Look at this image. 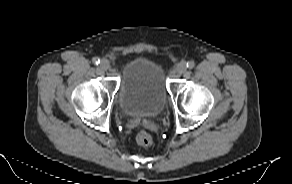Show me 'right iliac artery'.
<instances>
[{
    "label": "right iliac artery",
    "instance_id": "1",
    "mask_svg": "<svg viewBox=\"0 0 292 184\" xmlns=\"http://www.w3.org/2000/svg\"><path fill=\"white\" fill-rule=\"evenodd\" d=\"M92 61L96 65H98L100 63V59L98 57H94Z\"/></svg>",
    "mask_w": 292,
    "mask_h": 184
}]
</instances>
